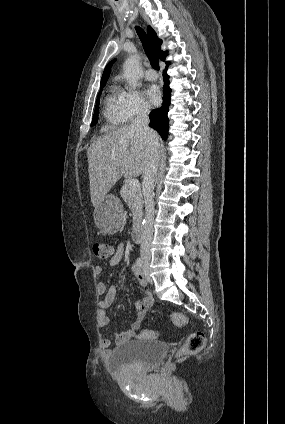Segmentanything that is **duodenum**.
Here are the masks:
<instances>
[{
	"mask_svg": "<svg viewBox=\"0 0 285 424\" xmlns=\"http://www.w3.org/2000/svg\"><path fill=\"white\" fill-rule=\"evenodd\" d=\"M132 239L136 243H140L143 240V229L141 226H136L132 233Z\"/></svg>",
	"mask_w": 285,
	"mask_h": 424,
	"instance_id": "410a0bca",
	"label": "duodenum"
}]
</instances>
